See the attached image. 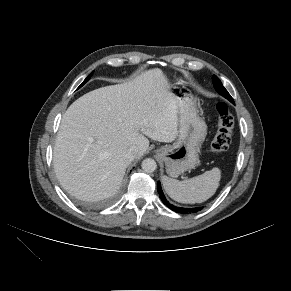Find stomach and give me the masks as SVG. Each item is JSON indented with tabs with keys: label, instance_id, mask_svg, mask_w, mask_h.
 <instances>
[{
	"label": "stomach",
	"instance_id": "0dacf381",
	"mask_svg": "<svg viewBox=\"0 0 291 291\" xmlns=\"http://www.w3.org/2000/svg\"><path fill=\"white\" fill-rule=\"evenodd\" d=\"M178 101V138L172 145L156 150L171 177L195 168L199 162V147L207 134L205 121L199 116L196 99L182 82L172 87Z\"/></svg>",
	"mask_w": 291,
	"mask_h": 291
}]
</instances>
